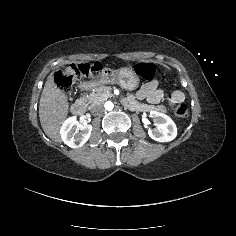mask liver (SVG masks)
<instances>
[{"label": "liver", "instance_id": "liver-1", "mask_svg": "<svg viewBox=\"0 0 236 236\" xmlns=\"http://www.w3.org/2000/svg\"><path fill=\"white\" fill-rule=\"evenodd\" d=\"M68 98L53 80L51 73L40 98L39 118L45 134L55 142H61L60 129L68 114Z\"/></svg>", "mask_w": 236, "mask_h": 236}]
</instances>
